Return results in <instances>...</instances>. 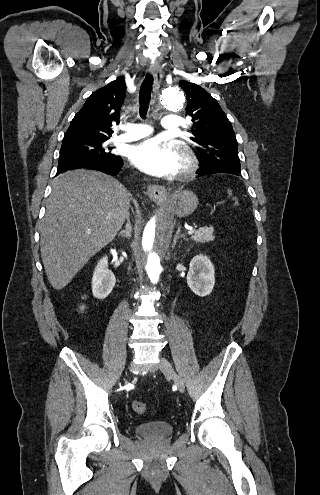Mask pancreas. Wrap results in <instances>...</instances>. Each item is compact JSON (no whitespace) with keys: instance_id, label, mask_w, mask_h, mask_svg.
<instances>
[{"instance_id":"pancreas-1","label":"pancreas","mask_w":320,"mask_h":495,"mask_svg":"<svg viewBox=\"0 0 320 495\" xmlns=\"http://www.w3.org/2000/svg\"><path fill=\"white\" fill-rule=\"evenodd\" d=\"M213 232L214 228L212 226L202 227L192 235L191 239L200 243L210 242L214 240Z\"/></svg>"}]
</instances>
